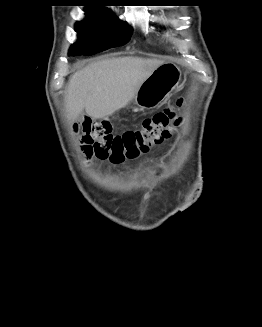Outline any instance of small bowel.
I'll use <instances>...</instances> for the list:
<instances>
[{
	"label": "small bowel",
	"instance_id": "small-bowel-1",
	"mask_svg": "<svg viewBox=\"0 0 262 327\" xmlns=\"http://www.w3.org/2000/svg\"><path fill=\"white\" fill-rule=\"evenodd\" d=\"M78 130H79L78 125H75V126H74V131L77 132ZM85 154H86V153H85ZM86 156H87V157H91L89 154H86Z\"/></svg>",
	"mask_w": 262,
	"mask_h": 327
}]
</instances>
